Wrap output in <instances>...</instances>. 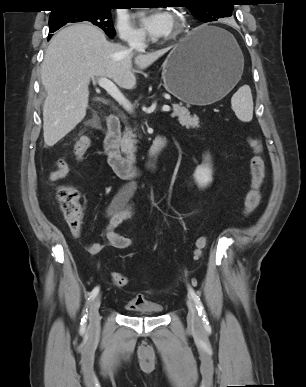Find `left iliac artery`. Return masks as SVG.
I'll use <instances>...</instances> for the list:
<instances>
[{"mask_svg": "<svg viewBox=\"0 0 306 387\" xmlns=\"http://www.w3.org/2000/svg\"><path fill=\"white\" fill-rule=\"evenodd\" d=\"M188 291H189V294L191 295L192 299L194 300V302L196 304V308L198 310V314H199V316L202 319L204 327L206 329H208L210 326H209L208 318H207V315H206V311L204 309V306H203V304L201 302L200 297L196 294V292L194 291V289L190 285H188Z\"/></svg>", "mask_w": 306, "mask_h": 387, "instance_id": "44dca946", "label": "left iliac artery"}]
</instances>
